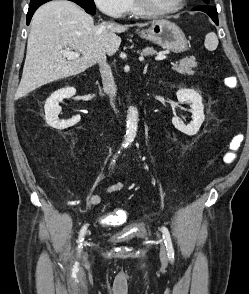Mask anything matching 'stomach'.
<instances>
[{
	"label": "stomach",
	"instance_id": "obj_1",
	"mask_svg": "<svg viewBox=\"0 0 249 294\" xmlns=\"http://www.w3.org/2000/svg\"><path fill=\"white\" fill-rule=\"evenodd\" d=\"M139 35L175 53H182L188 48V41L183 31L168 20L155 21L150 28L140 31Z\"/></svg>",
	"mask_w": 249,
	"mask_h": 294
}]
</instances>
